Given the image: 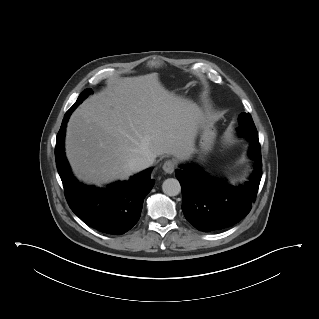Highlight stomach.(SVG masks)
Masks as SVG:
<instances>
[{"mask_svg": "<svg viewBox=\"0 0 319 319\" xmlns=\"http://www.w3.org/2000/svg\"><path fill=\"white\" fill-rule=\"evenodd\" d=\"M200 131V153L202 155H206L212 150L217 136L214 120L207 116H204L200 124Z\"/></svg>", "mask_w": 319, "mask_h": 319, "instance_id": "obj_1", "label": "stomach"}]
</instances>
